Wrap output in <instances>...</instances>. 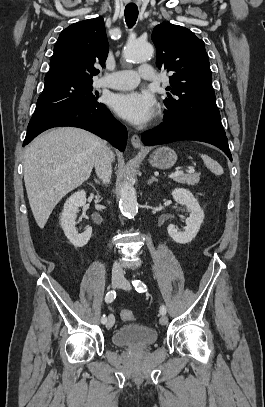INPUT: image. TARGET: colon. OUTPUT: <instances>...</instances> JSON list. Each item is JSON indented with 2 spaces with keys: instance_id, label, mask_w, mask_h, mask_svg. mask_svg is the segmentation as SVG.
<instances>
[{
  "instance_id": "colon-1",
  "label": "colon",
  "mask_w": 265,
  "mask_h": 407,
  "mask_svg": "<svg viewBox=\"0 0 265 407\" xmlns=\"http://www.w3.org/2000/svg\"><path fill=\"white\" fill-rule=\"evenodd\" d=\"M120 317L125 322H130L134 320V313L129 309H123L120 313Z\"/></svg>"
}]
</instances>
